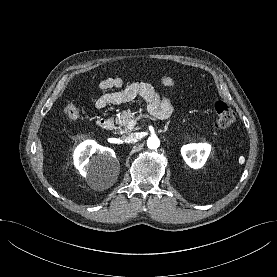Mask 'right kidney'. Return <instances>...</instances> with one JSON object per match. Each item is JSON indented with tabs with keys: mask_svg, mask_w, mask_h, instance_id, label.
Listing matches in <instances>:
<instances>
[{
	"mask_svg": "<svg viewBox=\"0 0 277 277\" xmlns=\"http://www.w3.org/2000/svg\"><path fill=\"white\" fill-rule=\"evenodd\" d=\"M97 153V160L102 164L116 163L115 152L107 147L100 146L94 141L88 140L81 143L74 151V164L80 173L86 177L95 171V166L89 162L88 155Z\"/></svg>",
	"mask_w": 277,
	"mask_h": 277,
	"instance_id": "right-kidney-1",
	"label": "right kidney"
}]
</instances>
